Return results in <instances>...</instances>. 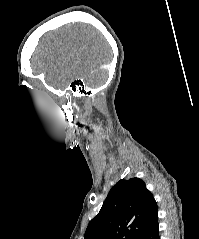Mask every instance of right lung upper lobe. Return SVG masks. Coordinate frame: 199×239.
<instances>
[{"mask_svg": "<svg viewBox=\"0 0 199 239\" xmlns=\"http://www.w3.org/2000/svg\"><path fill=\"white\" fill-rule=\"evenodd\" d=\"M157 218V203L144 181L122 179L90 221L84 239H137Z\"/></svg>", "mask_w": 199, "mask_h": 239, "instance_id": "right-lung-upper-lobe-1", "label": "right lung upper lobe"}]
</instances>
